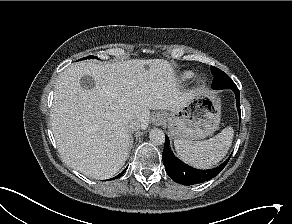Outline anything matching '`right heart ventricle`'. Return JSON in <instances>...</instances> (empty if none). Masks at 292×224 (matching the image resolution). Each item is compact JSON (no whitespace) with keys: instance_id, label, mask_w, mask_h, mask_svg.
I'll return each instance as SVG.
<instances>
[{"instance_id":"obj_1","label":"right heart ventricle","mask_w":292,"mask_h":224,"mask_svg":"<svg viewBox=\"0 0 292 224\" xmlns=\"http://www.w3.org/2000/svg\"><path fill=\"white\" fill-rule=\"evenodd\" d=\"M194 76L193 72L185 71L181 74V80L186 81L191 79Z\"/></svg>"}]
</instances>
